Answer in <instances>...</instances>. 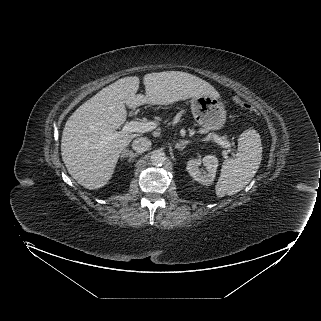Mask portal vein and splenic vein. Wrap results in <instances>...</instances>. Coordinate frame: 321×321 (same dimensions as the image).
I'll use <instances>...</instances> for the list:
<instances>
[{
    "label": "portal vein and splenic vein",
    "mask_w": 321,
    "mask_h": 321,
    "mask_svg": "<svg viewBox=\"0 0 321 321\" xmlns=\"http://www.w3.org/2000/svg\"><path fill=\"white\" fill-rule=\"evenodd\" d=\"M157 127V123L154 121L150 122H137V121H131L127 124L122 129V132L124 133H131V132H140V133H145L152 131ZM212 140H214L216 143L221 145L223 148H226L228 150L231 149V144L229 141L224 140L222 137H219L218 135H212L210 136Z\"/></svg>",
    "instance_id": "18ae733b"
}]
</instances>
